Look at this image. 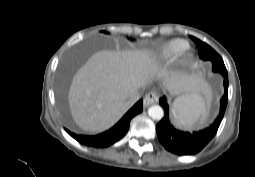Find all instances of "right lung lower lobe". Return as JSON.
Returning <instances> with one entry per match:
<instances>
[{"label": "right lung lower lobe", "instance_id": "right-lung-lower-lobe-1", "mask_svg": "<svg viewBox=\"0 0 255 177\" xmlns=\"http://www.w3.org/2000/svg\"><path fill=\"white\" fill-rule=\"evenodd\" d=\"M143 109L142 100H139L111 129L95 135H76L67 130V132L79 143L95 148H105L119 141L128 131L131 119L139 114Z\"/></svg>", "mask_w": 255, "mask_h": 177}]
</instances>
